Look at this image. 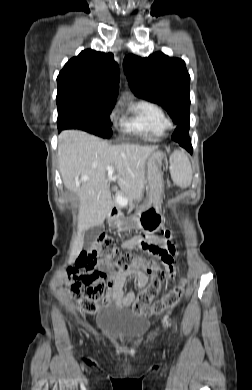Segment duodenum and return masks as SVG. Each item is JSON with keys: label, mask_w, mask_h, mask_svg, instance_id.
Masks as SVG:
<instances>
[{"label": "duodenum", "mask_w": 252, "mask_h": 390, "mask_svg": "<svg viewBox=\"0 0 252 390\" xmlns=\"http://www.w3.org/2000/svg\"><path fill=\"white\" fill-rule=\"evenodd\" d=\"M119 218L118 210L113 207L109 211V222L111 225H114L116 223V220Z\"/></svg>", "instance_id": "duodenum-1"}]
</instances>
